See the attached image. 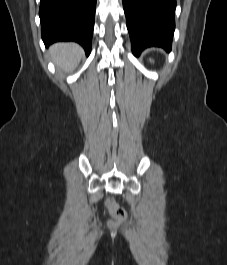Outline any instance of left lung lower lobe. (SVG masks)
Listing matches in <instances>:
<instances>
[{
	"label": "left lung lower lobe",
	"mask_w": 227,
	"mask_h": 265,
	"mask_svg": "<svg viewBox=\"0 0 227 265\" xmlns=\"http://www.w3.org/2000/svg\"><path fill=\"white\" fill-rule=\"evenodd\" d=\"M132 51L150 46L171 50L176 0H122Z\"/></svg>",
	"instance_id": "obj_1"
}]
</instances>
